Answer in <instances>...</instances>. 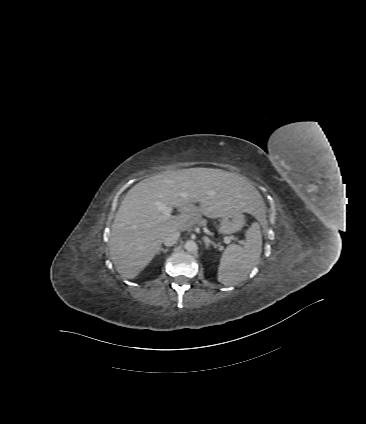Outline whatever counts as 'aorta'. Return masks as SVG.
<instances>
[{
    "mask_svg": "<svg viewBox=\"0 0 366 424\" xmlns=\"http://www.w3.org/2000/svg\"><path fill=\"white\" fill-rule=\"evenodd\" d=\"M184 248L189 252H194L197 250V244L193 240H188L185 242Z\"/></svg>",
    "mask_w": 366,
    "mask_h": 424,
    "instance_id": "aorta-1",
    "label": "aorta"
}]
</instances>
